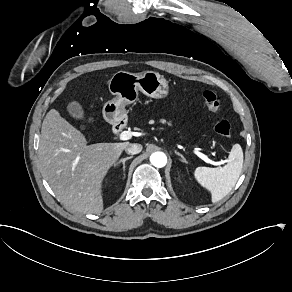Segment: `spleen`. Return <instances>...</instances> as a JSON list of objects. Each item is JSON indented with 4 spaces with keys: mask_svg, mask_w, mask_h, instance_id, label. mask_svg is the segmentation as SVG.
Wrapping results in <instances>:
<instances>
[{
    "mask_svg": "<svg viewBox=\"0 0 292 292\" xmlns=\"http://www.w3.org/2000/svg\"><path fill=\"white\" fill-rule=\"evenodd\" d=\"M243 157L241 146L235 143L223 168L197 167L193 171L195 181L210 193L211 202L220 201L235 186L242 171Z\"/></svg>",
    "mask_w": 292,
    "mask_h": 292,
    "instance_id": "obj_1",
    "label": "spleen"
}]
</instances>
